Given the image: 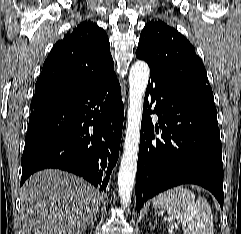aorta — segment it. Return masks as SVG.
Instances as JSON below:
<instances>
[{"label":"aorta","mask_w":241,"mask_h":234,"mask_svg":"<svg viewBox=\"0 0 241 234\" xmlns=\"http://www.w3.org/2000/svg\"><path fill=\"white\" fill-rule=\"evenodd\" d=\"M150 69L145 61L135 62L129 73V107L127 114L124 150L118 173V193L121 204L128 207L134 187L140 128L143 110V97L147 88Z\"/></svg>","instance_id":"obj_1"}]
</instances>
